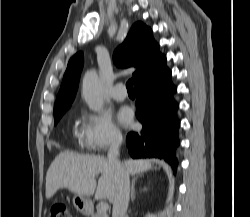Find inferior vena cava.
I'll use <instances>...</instances> for the list:
<instances>
[{"label":"inferior vena cava","mask_w":250,"mask_h":217,"mask_svg":"<svg viewBox=\"0 0 250 217\" xmlns=\"http://www.w3.org/2000/svg\"><path fill=\"white\" fill-rule=\"evenodd\" d=\"M122 144V137H115L108 150L107 159L114 169L116 190L113 200L112 217H126L129 204L130 181L126 169L119 162V147Z\"/></svg>","instance_id":"obj_1"}]
</instances>
